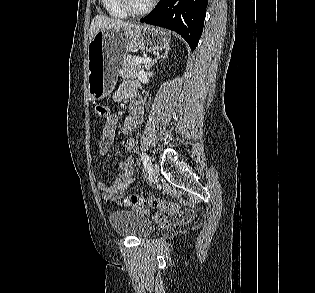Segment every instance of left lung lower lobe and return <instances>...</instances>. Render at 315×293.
Wrapping results in <instances>:
<instances>
[{"label": "left lung lower lobe", "instance_id": "left-lung-lower-lobe-1", "mask_svg": "<svg viewBox=\"0 0 315 293\" xmlns=\"http://www.w3.org/2000/svg\"><path fill=\"white\" fill-rule=\"evenodd\" d=\"M207 0H160L140 22L179 33L195 50L203 31Z\"/></svg>", "mask_w": 315, "mask_h": 293}]
</instances>
